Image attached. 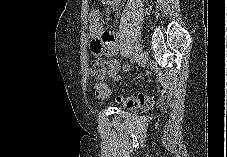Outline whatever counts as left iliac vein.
<instances>
[{"label":"left iliac vein","instance_id":"4c4485c4","mask_svg":"<svg viewBox=\"0 0 227 157\" xmlns=\"http://www.w3.org/2000/svg\"><path fill=\"white\" fill-rule=\"evenodd\" d=\"M148 52L146 50H142L138 57H137V63L140 67H145L148 61Z\"/></svg>","mask_w":227,"mask_h":157}]
</instances>
